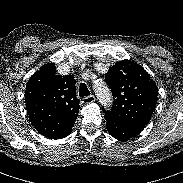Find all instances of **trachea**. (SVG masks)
I'll return each instance as SVG.
<instances>
[{
  "label": "trachea",
  "mask_w": 183,
  "mask_h": 183,
  "mask_svg": "<svg viewBox=\"0 0 183 183\" xmlns=\"http://www.w3.org/2000/svg\"><path fill=\"white\" fill-rule=\"evenodd\" d=\"M90 95V91L84 83H81L79 86V96L84 97Z\"/></svg>",
  "instance_id": "obj_1"
}]
</instances>
